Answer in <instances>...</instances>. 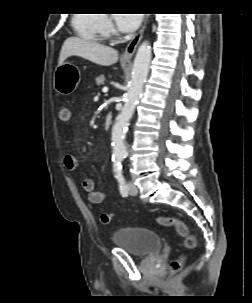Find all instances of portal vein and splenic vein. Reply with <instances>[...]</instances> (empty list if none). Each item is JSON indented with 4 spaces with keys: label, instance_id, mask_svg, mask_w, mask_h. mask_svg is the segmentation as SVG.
I'll return each mask as SVG.
<instances>
[{
    "label": "portal vein and splenic vein",
    "instance_id": "1",
    "mask_svg": "<svg viewBox=\"0 0 252 303\" xmlns=\"http://www.w3.org/2000/svg\"><path fill=\"white\" fill-rule=\"evenodd\" d=\"M102 91H103L104 93L107 92V91H108V87H107V86L103 87Z\"/></svg>",
    "mask_w": 252,
    "mask_h": 303
}]
</instances>
